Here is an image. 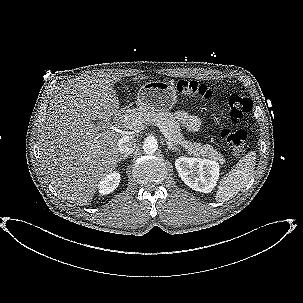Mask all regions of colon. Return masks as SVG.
Here are the masks:
<instances>
[{"mask_svg":"<svg viewBox=\"0 0 303 303\" xmlns=\"http://www.w3.org/2000/svg\"><path fill=\"white\" fill-rule=\"evenodd\" d=\"M178 88L181 93L188 96H197L205 100H209L212 97V92L208 87L193 81H182L179 83ZM251 108V100L239 94L232 93L227 99L226 111L231 123L234 125H237L244 115L250 112ZM221 135L227 141L233 155L241 156L244 153L247 140V134L244 129L238 126L224 127Z\"/></svg>","mask_w":303,"mask_h":303,"instance_id":"1","label":"colon"}]
</instances>
